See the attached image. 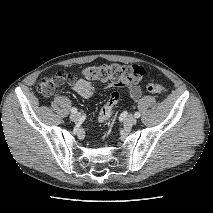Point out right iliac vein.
Wrapping results in <instances>:
<instances>
[{
    "label": "right iliac vein",
    "instance_id": "1",
    "mask_svg": "<svg viewBox=\"0 0 213 213\" xmlns=\"http://www.w3.org/2000/svg\"><path fill=\"white\" fill-rule=\"evenodd\" d=\"M81 115L79 113H73L70 115V119L74 122H77L80 119Z\"/></svg>",
    "mask_w": 213,
    "mask_h": 213
}]
</instances>
